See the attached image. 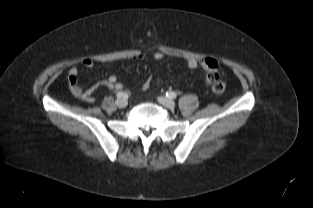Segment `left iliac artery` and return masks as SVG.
Wrapping results in <instances>:
<instances>
[{
    "instance_id": "44dca946",
    "label": "left iliac artery",
    "mask_w": 313,
    "mask_h": 208,
    "mask_svg": "<svg viewBox=\"0 0 313 208\" xmlns=\"http://www.w3.org/2000/svg\"><path fill=\"white\" fill-rule=\"evenodd\" d=\"M166 96L168 98L175 99L177 97V94L173 91H168V92H166Z\"/></svg>"
}]
</instances>
